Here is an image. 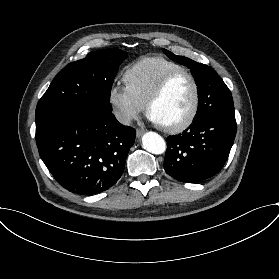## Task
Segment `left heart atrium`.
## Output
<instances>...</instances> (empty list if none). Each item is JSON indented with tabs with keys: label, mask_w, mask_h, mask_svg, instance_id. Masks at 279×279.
<instances>
[{
	"label": "left heart atrium",
	"mask_w": 279,
	"mask_h": 279,
	"mask_svg": "<svg viewBox=\"0 0 279 279\" xmlns=\"http://www.w3.org/2000/svg\"><path fill=\"white\" fill-rule=\"evenodd\" d=\"M150 120L155 124L161 125L160 121L157 118L153 117L152 115L150 116Z\"/></svg>",
	"instance_id": "1"
}]
</instances>
